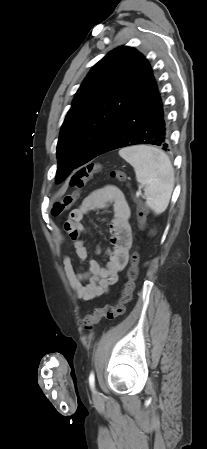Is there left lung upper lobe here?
<instances>
[{
  "mask_svg": "<svg viewBox=\"0 0 207 449\" xmlns=\"http://www.w3.org/2000/svg\"><path fill=\"white\" fill-rule=\"evenodd\" d=\"M153 80L147 59L118 47L93 66L78 89L60 131L56 182L89 162Z\"/></svg>",
  "mask_w": 207,
  "mask_h": 449,
  "instance_id": "5c2ea615",
  "label": "left lung upper lobe"
}]
</instances>
